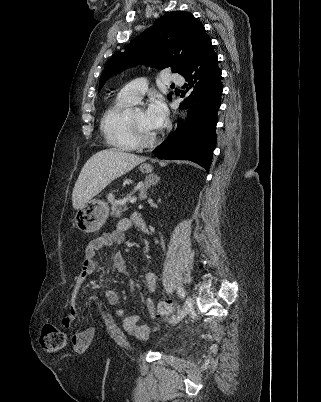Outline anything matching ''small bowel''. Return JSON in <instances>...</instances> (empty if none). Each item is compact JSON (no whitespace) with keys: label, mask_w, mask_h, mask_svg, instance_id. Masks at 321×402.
<instances>
[{"label":"small bowel","mask_w":321,"mask_h":402,"mask_svg":"<svg viewBox=\"0 0 321 402\" xmlns=\"http://www.w3.org/2000/svg\"><path fill=\"white\" fill-rule=\"evenodd\" d=\"M133 225L138 227L141 231L147 232L146 227L136 219L122 220L119 222L115 230L103 233L89 241L85 248V262L76 280L78 285L98 270V262L96 260L98 253L104 248L109 247L113 244H121L125 240L127 230ZM112 265L114 269L119 273L126 274L125 260L123 255L119 251L113 253ZM145 284L146 288L149 291L153 292L156 290L157 276L154 272L148 271L145 274ZM130 291L134 295V288L132 284H130ZM106 299L108 303L112 306H117L120 302L118 293L112 289L106 291ZM144 304L149 317H156L157 312L154 300L152 298H146ZM116 315L120 318H123V327L127 333L136 336L142 340H146L149 337L148 328L146 325L140 323L139 315L127 316L126 310L124 308H118L116 310ZM77 318V309L71 307L68 314L63 318L62 322L64 327L67 329H72ZM91 333L92 328L89 327H81L77 330H74V332L72 333L71 342L75 349V357H82L83 353L86 350V346L90 342Z\"/></svg>","instance_id":"1"}]
</instances>
